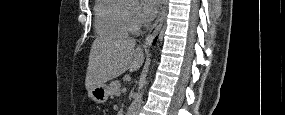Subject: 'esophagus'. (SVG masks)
<instances>
[{"instance_id": "34e87169", "label": "esophagus", "mask_w": 285, "mask_h": 115, "mask_svg": "<svg viewBox=\"0 0 285 115\" xmlns=\"http://www.w3.org/2000/svg\"><path fill=\"white\" fill-rule=\"evenodd\" d=\"M166 4H167V0H162L161 1V6H160V10L159 13L157 15L156 20L154 21L153 25L151 26L145 40H144V46L147 47L151 44L152 40L155 38V36L158 34V32L160 31L162 24H163V20H164V16H165V10H166Z\"/></svg>"}]
</instances>
